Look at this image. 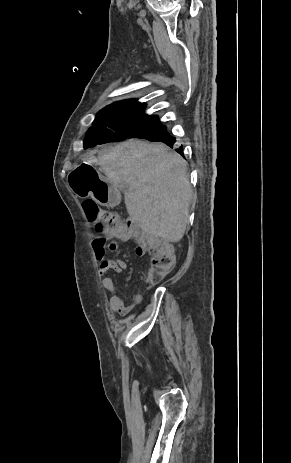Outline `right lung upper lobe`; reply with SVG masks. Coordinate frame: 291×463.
<instances>
[{"label":"right lung upper lobe","mask_w":291,"mask_h":463,"mask_svg":"<svg viewBox=\"0 0 291 463\" xmlns=\"http://www.w3.org/2000/svg\"><path fill=\"white\" fill-rule=\"evenodd\" d=\"M144 109H145L144 103H139L136 100H125V101H120L112 105H109L105 107L104 109H102L101 111L107 114L158 118L157 116H149L145 114Z\"/></svg>","instance_id":"obj_1"}]
</instances>
